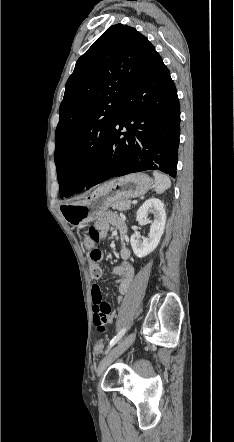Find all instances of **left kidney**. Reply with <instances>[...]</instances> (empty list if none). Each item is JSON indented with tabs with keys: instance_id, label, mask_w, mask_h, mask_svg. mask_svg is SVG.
Returning a JSON list of instances; mask_svg holds the SVG:
<instances>
[{
	"instance_id": "obj_1",
	"label": "left kidney",
	"mask_w": 234,
	"mask_h": 442,
	"mask_svg": "<svg viewBox=\"0 0 234 442\" xmlns=\"http://www.w3.org/2000/svg\"><path fill=\"white\" fill-rule=\"evenodd\" d=\"M149 212L154 215L149 236L141 239L140 236L133 234L130 238L133 252L139 258L145 257L154 251L164 233L166 213L163 202L158 198L146 200L138 209L136 220L149 223L150 221L147 219Z\"/></svg>"
}]
</instances>
